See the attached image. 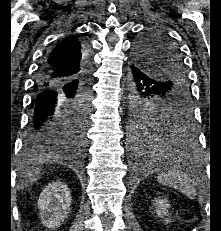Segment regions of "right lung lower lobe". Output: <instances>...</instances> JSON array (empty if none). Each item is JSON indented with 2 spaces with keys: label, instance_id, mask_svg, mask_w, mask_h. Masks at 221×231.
I'll use <instances>...</instances> for the list:
<instances>
[{
  "label": "right lung lower lobe",
  "instance_id": "right-lung-lower-lobe-1",
  "mask_svg": "<svg viewBox=\"0 0 221 231\" xmlns=\"http://www.w3.org/2000/svg\"><path fill=\"white\" fill-rule=\"evenodd\" d=\"M47 68L41 65L33 98V110L23 152L27 158L46 154H75L82 156L84 144L78 143L64 129L65 110L78 100L90 102L91 64L86 56L84 75L68 83L44 81Z\"/></svg>",
  "mask_w": 221,
  "mask_h": 231
}]
</instances>
